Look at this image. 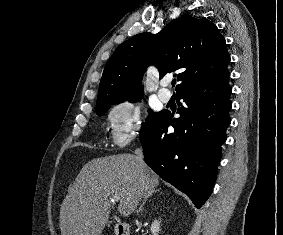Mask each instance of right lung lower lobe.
Here are the masks:
<instances>
[{
	"label": "right lung lower lobe",
	"instance_id": "right-lung-lower-lobe-1",
	"mask_svg": "<svg viewBox=\"0 0 283 235\" xmlns=\"http://www.w3.org/2000/svg\"><path fill=\"white\" fill-rule=\"evenodd\" d=\"M229 73L183 87L176 93L180 117L160 112L140 133L147 165L163 180L184 192L196 208L212 193L231 120ZM173 126L175 131L168 132Z\"/></svg>",
	"mask_w": 283,
	"mask_h": 235
}]
</instances>
